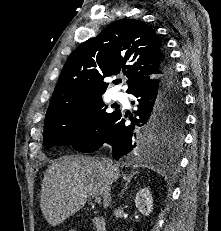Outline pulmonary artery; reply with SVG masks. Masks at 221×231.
Listing matches in <instances>:
<instances>
[{"label":"pulmonary artery","mask_w":221,"mask_h":231,"mask_svg":"<svg viewBox=\"0 0 221 231\" xmlns=\"http://www.w3.org/2000/svg\"><path fill=\"white\" fill-rule=\"evenodd\" d=\"M113 97L116 101H119L123 104H127V99H126V96L124 95V93L119 92V91L115 92Z\"/></svg>","instance_id":"1"}]
</instances>
